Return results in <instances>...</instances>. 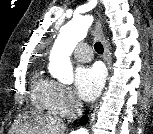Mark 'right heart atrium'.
<instances>
[{
	"mask_svg": "<svg viewBox=\"0 0 153 134\" xmlns=\"http://www.w3.org/2000/svg\"><path fill=\"white\" fill-rule=\"evenodd\" d=\"M48 105L52 112L66 117L77 109L78 102L67 86L51 81Z\"/></svg>",
	"mask_w": 153,
	"mask_h": 134,
	"instance_id": "1",
	"label": "right heart atrium"
}]
</instances>
